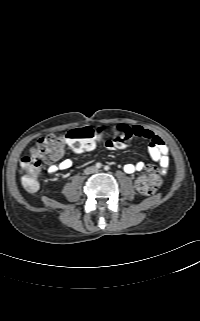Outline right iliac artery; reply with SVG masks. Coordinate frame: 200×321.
I'll use <instances>...</instances> for the list:
<instances>
[{"mask_svg": "<svg viewBox=\"0 0 200 321\" xmlns=\"http://www.w3.org/2000/svg\"><path fill=\"white\" fill-rule=\"evenodd\" d=\"M95 166H96V168H98V169H99V168H101V166H102V165H101V163H99V162H98V163H96V165H95Z\"/></svg>", "mask_w": 200, "mask_h": 321, "instance_id": "82829eb1", "label": "right iliac artery"}]
</instances>
